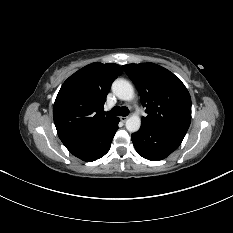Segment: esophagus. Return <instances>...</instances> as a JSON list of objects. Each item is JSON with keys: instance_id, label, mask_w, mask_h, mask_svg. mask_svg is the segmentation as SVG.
I'll list each match as a JSON object with an SVG mask.
<instances>
[{"instance_id": "1", "label": "esophagus", "mask_w": 233, "mask_h": 233, "mask_svg": "<svg viewBox=\"0 0 233 233\" xmlns=\"http://www.w3.org/2000/svg\"><path fill=\"white\" fill-rule=\"evenodd\" d=\"M127 119H128L127 116H121V117H120V120H121L122 122H125Z\"/></svg>"}]
</instances>
